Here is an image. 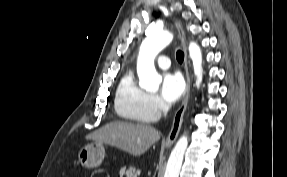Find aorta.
<instances>
[{"label": "aorta", "mask_w": 287, "mask_h": 177, "mask_svg": "<svg viewBox=\"0 0 287 177\" xmlns=\"http://www.w3.org/2000/svg\"><path fill=\"white\" fill-rule=\"evenodd\" d=\"M173 40L169 31H154L141 44L137 59L139 85L147 91H156L162 78L156 72L154 59L156 55ZM189 54L193 62L194 73L197 77V87L202 81V54L200 47L191 42ZM188 146V138L183 135L176 143L169 157L164 177H179L184 154Z\"/></svg>", "instance_id": "aorta-1"}]
</instances>
